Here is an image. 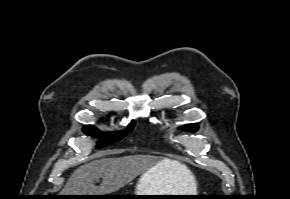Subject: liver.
Returning a JSON list of instances; mask_svg holds the SVG:
<instances>
[{
	"label": "liver",
	"mask_w": 290,
	"mask_h": 199,
	"mask_svg": "<svg viewBox=\"0 0 290 199\" xmlns=\"http://www.w3.org/2000/svg\"><path fill=\"white\" fill-rule=\"evenodd\" d=\"M159 166V177L166 180L170 192L191 191L194 177L186 165L165 158L158 161L149 155L101 158L76 169L61 191L62 195H106L131 182L153 166ZM102 178L100 186L95 181Z\"/></svg>",
	"instance_id": "6515ba94"
}]
</instances>
